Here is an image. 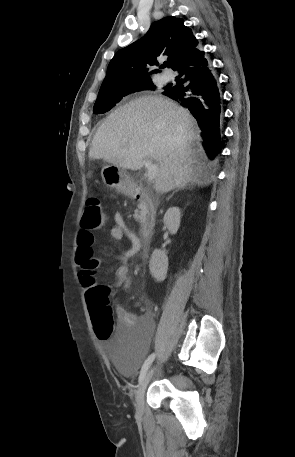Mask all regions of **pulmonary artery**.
Here are the masks:
<instances>
[{"label":"pulmonary artery","instance_id":"1","mask_svg":"<svg viewBox=\"0 0 295 457\" xmlns=\"http://www.w3.org/2000/svg\"><path fill=\"white\" fill-rule=\"evenodd\" d=\"M161 77L164 81H170L172 79V74L170 72H163Z\"/></svg>","mask_w":295,"mask_h":457}]
</instances>
